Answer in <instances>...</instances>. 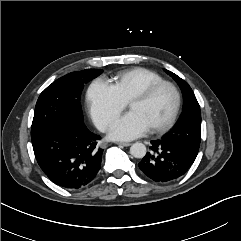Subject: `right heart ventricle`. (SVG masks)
I'll list each match as a JSON object with an SVG mask.
<instances>
[{
	"label": "right heart ventricle",
	"mask_w": 241,
	"mask_h": 241,
	"mask_svg": "<svg viewBox=\"0 0 241 241\" xmlns=\"http://www.w3.org/2000/svg\"><path fill=\"white\" fill-rule=\"evenodd\" d=\"M163 81L156 72L146 68L136 67L118 73L113 78V86L119 96L125 101L129 100L147 86Z\"/></svg>",
	"instance_id": "right-heart-ventricle-1"
}]
</instances>
